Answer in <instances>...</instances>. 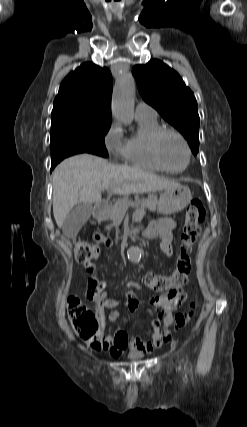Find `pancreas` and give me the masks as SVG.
<instances>
[{
    "mask_svg": "<svg viewBox=\"0 0 247 427\" xmlns=\"http://www.w3.org/2000/svg\"><path fill=\"white\" fill-rule=\"evenodd\" d=\"M132 201L127 197L118 199L112 204L105 212L106 218L110 219L113 224H117L125 215V212ZM137 205H140L142 208H148L150 210H155L158 201L157 197L154 195H149L146 199H136Z\"/></svg>",
    "mask_w": 247,
    "mask_h": 427,
    "instance_id": "pancreas-1",
    "label": "pancreas"
}]
</instances>
